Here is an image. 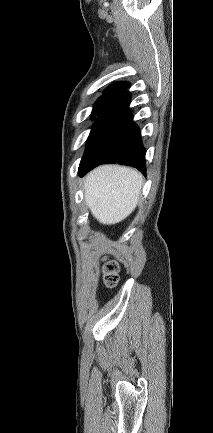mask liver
Returning a JSON list of instances; mask_svg holds the SVG:
<instances>
[{
  "label": "liver",
  "instance_id": "liver-1",
  "mask_svg": "<svg viewBox=\"0 0 213 433\" xmlns=\"http://www.w3.org/2000/svg\"><path fill=\"white\" fill-rule=\"evenodd\" d=\"M142 185L143 176L137 170L120 165H103L86 177L85 202L100 223L116 224L136 208Z\"/></svg>",
  "mask_w": 213,
  "mask_h": 433
}]
</instances>
